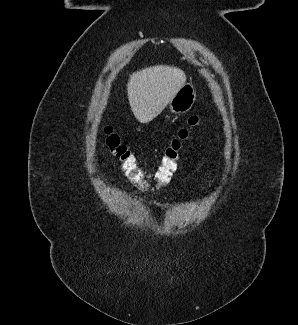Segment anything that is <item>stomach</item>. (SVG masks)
Instances as JSON below:
<instances>
[{"label": "stomach", "instance_id": "obj_1", "mask_svg": "<svg viewBox=\"0 0 298 325\" xmlns=\"http://www.w3.org/2000/svg\"><path fill=\"white\" fill-rule=\"evenodd\" d=\"M196 100V90L192 82H185L169 102V108L174 114H184L192 108Z\"/></svg>", "mask_w": 298, "mask_h": 325}]
</instances>
